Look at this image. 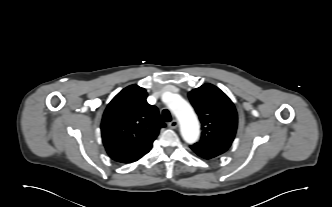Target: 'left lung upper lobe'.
I'll return each mask as SVG.
<instances>
[{
    "label": "left lung upper lobe",
    "instance_id": "5c2ea615",
    "mask_svg": "<svg viewBox=\"0 0 332 207\" xmlns=\"http://www.w3.org/2000/svg\"><path fill=\"white\" fill-rule=\"evenodd\" d=\"M201 122V139L190 146L199 154L216 157L231 146L237 129L232 101L216 86L204 84L188 94Z\"/></svg>",
    "mask_w": 332,
    "mask_h": 207
}]
</instances>
